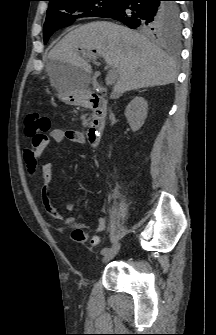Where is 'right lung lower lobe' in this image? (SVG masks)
I'll return each mask as SVG.
<instances>
[{
	"label": "right lung lower lobe",
	"mask_w": 216,
	"mask_h": 335,
	"mask_svg": "<svg viewBox=\"0 0 216 335\" xmlns=\"http://www.w3.org/2000/svg\"><path fill=\"white\" fill-rule=\"evenodd\" d=\"M103 17L118 20L132 29L150 30L157 34L171 29L174 22L179 19V12L174 1L120 0Z\"/></svg>",
	"instance_id": "1"
}]
</instances>
